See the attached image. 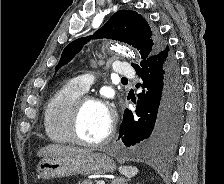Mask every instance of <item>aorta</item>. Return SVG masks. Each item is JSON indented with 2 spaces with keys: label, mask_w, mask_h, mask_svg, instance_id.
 Masks as SVG:
<instances>
[{
  "label": "aorta",
  "mask_w": 224,
  "mask_h": 184,
  "mask_svg": "<svg viewBox=\"0 0 224 184\" xmlns=\"http://www.w3.org/2000/svg\"><path fill=\"white\" fill-rule=\"evenodd\" d=\"M112 48L118 52L128 53V56L135 58L133 51H130V49L127 47L117 45V46H113Z\"/></svg>",
  "instance_id": "1"
}]
</instances>
